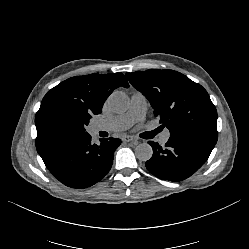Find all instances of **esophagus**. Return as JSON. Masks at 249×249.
<instances>
[{
	"mask_svg": "<svg viewBox=\"0 0 249 249\" xmlns=\"http://www.w3.org/2000/svg\"><path fill=\"white\" fill-rule=\"evenodd\" d=\"M133 140H134V137L131 135H126V136L122 137V141H124V142H131Z\"/></svg>",
	"mask_w": 249,
	"mask_h": 249,
	"instance_id": "obj_1",
	"label": "esophagus"
}]
</instances>
